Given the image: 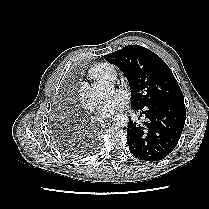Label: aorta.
<instances>
[{
  "mask_svg": "<svg viewBox=\"0 0 209 209\" xmlns=\"http://www.w3.org/2000/svg\"><path fill=\"white\" fill-rule=\"evenodd\" d=\"M112 89V86L107 82H96L90 90V96L94 100H103L110 96ZM112 121L115 126L126 127L129 119L125 114H117Z\"/></svg>",
  "mask_w": 209,
  "mask_h": 209,
  "instance_id": "762f6f07",
  "label": "aorta"
}]
</instances>
